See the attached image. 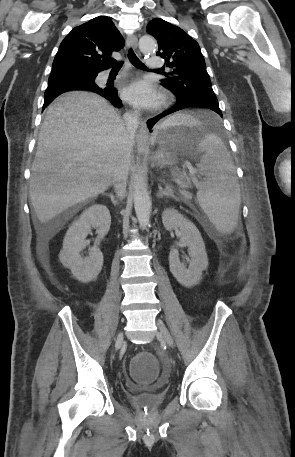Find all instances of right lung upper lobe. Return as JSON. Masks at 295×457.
Listing matches in <instances>:
<instances>
[{"label": "right lung upper lobe", "instance_id": "obj_1", "mask_svg": "<svg viewBox=\"0 0 295 457\" xmlns=\"http://www.w3.org/2000/svg\"><path fill=\"white\" fill-rule=\"evenodd\" d=\"M124 46V39L111 19L96 17L75 27L62 41L52 64L50 80H76L97 76L112 66L111 54Z\"/></svg>", "mask_w": 295, "mask_h": 457}]
</instances>
